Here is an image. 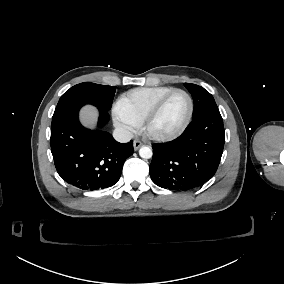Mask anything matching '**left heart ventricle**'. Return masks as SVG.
Returning a JSON list of instances; mask_svg holds the SVG:
<instances>
[{"label": "left heart ventricle", "instance_id": "left-heart-ventricle-1", "mask_svg": "<svg viewBox=\"0 0 284 284\" xmlns=\"http://www.w3.org/2000/svg\"><path fill=\"white\" fill-rule=\"evenodd\" d=\"M188 112L187 97L182 92L174 93L150 122L149 132L163 136L177 131L186 120Z\"/></svg>", "mask_w": 284, "mask_h": 284}]
</instances>
